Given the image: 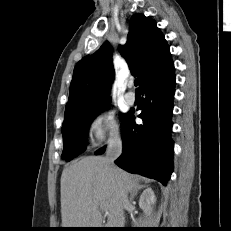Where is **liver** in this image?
Segmentation results:
<instances>
[{"instance_id": "6515ba94", "label": "liver", "mask_w": 231, "mask_h": 231, "mask_svg": "<svg viewBox=\"0 0 231 231\" xmlns=\"http://www.w3.org/2000/svg\"><path fill=\"white\" fill-rule=\"evenodd\" d=\"M137 186L129 173L115 166L109 168L105 157L88 156L74 161L61 175L62 227L101 228L100 210L108 215V228L124 226L122 197Z\"/></svg>"}]
</instances>
